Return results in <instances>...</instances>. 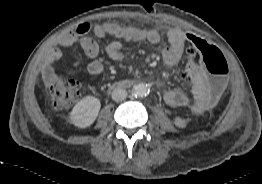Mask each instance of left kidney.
I'll return each mask as SVG.
<instances>
[{"label": "left kidney", "mask_w": 262, "mask_h": 184, "mask_svg": "<svg viewBox=\"0 0 262 184\" xmlns=\"http://www.w3.org/2000/svg\"><path fill=\"white\" fill-rule=\"evenodd\" d=\"M174 124H175L177 127H179V128H185L186 125H187V122H186L185 119H182V118H180V117H176V118L174 119Z\"/></svg>", "instance_id": "obj_1"}]
</instances>
